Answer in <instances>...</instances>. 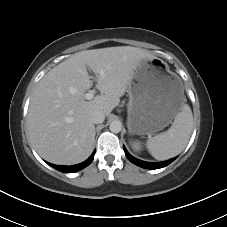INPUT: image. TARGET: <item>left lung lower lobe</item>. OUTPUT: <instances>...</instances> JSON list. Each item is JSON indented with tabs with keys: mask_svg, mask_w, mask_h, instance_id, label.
I'll use <instances>...</instances> for the list:
<instances>
[{
	"mask_svg": "<svg viewBox=\"0 0 227 227\" xmlns=\"http://www.w3.org/2000/svg\"><path fill=\"white\" fill-rule=\"evenodd\" d=\"M124 151H125V155L126 157L129 159V161H131L133 164L140 166L142 168H146V169H159L162 167L167 166L168 164H170L171 162H173L175 160V158L164 161V162H158V163H150V162H145V161H141L138 160L136 158H134L133 156H131L128 151L126 150V148L124 147Z\"/></svg>",
	"mask_w": 227,
	"mask_h": 227,
	"instance_id": "left-lung-lower-lobe-1",
	"label": "left lung lower lobe"
}]
</instances>
